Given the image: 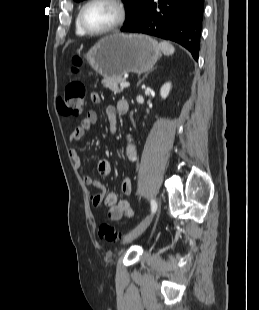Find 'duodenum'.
<instances>
[{
    "instance_id": "obj_1",
    "label": "duodenum",
    "mask_w": 259,
    "mask_h": 310,
    "mask_svg": "<svg viewBox=\"0 0 259 310\" xmlns=\"http://www.w3.org/2000/svg\"><path fill=\"white\" fill-rule=\"evenodd\" d=\"M127 110H128V103H123L118 108V112L121 113V114L126 113Z\"/></svg>"
}]
</instances>
